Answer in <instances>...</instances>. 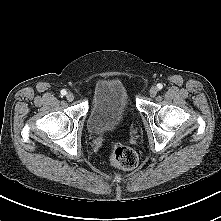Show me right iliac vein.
<instances>
[{
	"label": "right iliac vein",
	"mask_w": 221,
	"mask_h": 221,
	"mask_svg": "<svg viewBox=\"0 0 221 221\" xmlns=\"http://www.w3.org/2000/svg\"><path fill=\"white\" fill-rule=\"evenodd\" d=\"M66 99H67L68 101H72V100L74 99L73 93L68 92V93L66 94Z\"/></svg>",
	"instance_id": "63e3f726"
}]
</instances>
